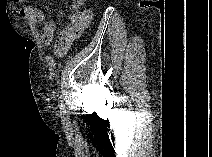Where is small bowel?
<instances>
[{"instance_id":"small-bowel-1","label":"small bowel","mask_w":212,"mask_h":157,"mask_svg":"<svg viewBox=\"0 0 212 157\" xmlns=\"http://www.w3.org/2000/svg\"><path fill=\"white\" fill-rule=\"evenodd\" d=\"M20 8L19 16L26 22L38 24L40 27V41L42 45H50L55 36L56 24L54 21L46 18L41 9L26 5L25 0H18ZM92 19L90 11H84L80 14L69 16L68 25L59 33L54 45V53L57 56H63L66 53L69 43L78 37L80 33L88 26ZM45 61L48 65L50 75L56 72V63L51 56H46Z\"/></svg>"}]
</instances>
